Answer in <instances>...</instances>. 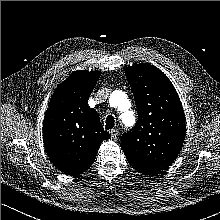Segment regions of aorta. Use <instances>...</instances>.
<instances>
[{
	"label": "aorta",
	"instance_id": "obj_1",
	"mask_svg": "<svg viewBox=\"0 0 220 220\" xmlns=\"http://www.w3.org/2000/svg\"><path fill=\"white\" fill-rule=\"evenodd\" d=\"M110 101L118 107L125 106L129 103L126 94L119 90L114 91L110 95ZM121 119L124 125L126 126H132L135 123V117L133 115V112L129 110L122 112Z\"/></svg>",
	"mask_w": 220,
	"mask_h": 220
}]
</instances>
